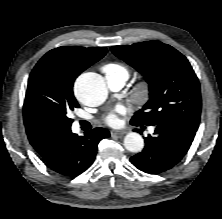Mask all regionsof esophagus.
Segmentation results:
<instances>
[{
	"label": "esophagus",
	"instance_id": "obj_1",
	"mask_svg": "<svg viewBox=\"0 0 222 219\" xmlns=\"http://www.w3.org/2000/svg\"><path fill=\"white\" fill-rule=\"evenodd\" d=\"M124 132L123 131H111V136H120V135H123Z\"/></svg>",
	"mask_w": 222,
	"mask_h": 219
}]
</instances>
